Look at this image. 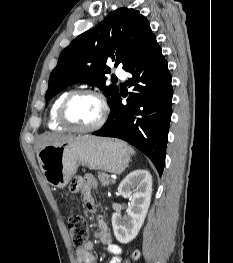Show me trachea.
Masks as SVG:
<instances>
[{
  "instance_id": "obj_1",
  "label": "trachea",
  "mask_w": 233,
  "mask_h": 263,
  "mask_svg": "<svg viewBox=\"0 0 233 263\" xmlns=\"http://www.w3.org/2000/svg\"><path fill=\"white\" fill-rule=\"evenodd\" d=\"M112 80L117 81V78L114 77V78H112Z\"/></svg>"
}]
</instances>
